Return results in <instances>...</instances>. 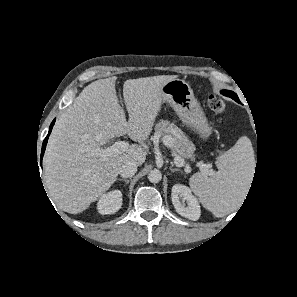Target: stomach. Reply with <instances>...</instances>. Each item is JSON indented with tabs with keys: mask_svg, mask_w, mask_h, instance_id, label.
I'll list each match as a JSON object with an SVG mask.
<instances>
[{
	"mask_svg": "<svg viewBox=\"0 0 297 297\" xmlns=\"http://www.w3.org/2000/svg\"><path fill=\"white\" fill-rule=\"evenodd\" d=\"M161 93L163 102L174 109L184 125L203 140L210 137L212 128L188 83L182 79H172L162 86Z\"/></svg>",
	"mask_w": 297,
	"mask_h": 297,
	"instance_id": "1",
	"label": "stomach"
}]
</instances>
